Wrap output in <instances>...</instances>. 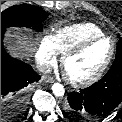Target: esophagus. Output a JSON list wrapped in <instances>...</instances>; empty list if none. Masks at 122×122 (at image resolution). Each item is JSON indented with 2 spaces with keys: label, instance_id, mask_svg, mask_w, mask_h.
Wrapping results in <instances>:
<instances>
[{
  "label": "esophagus",
  "instance_id": "esophagus-1",
  "mask_svg": "<svg viewBox=\"0 0 122 122\" xmlns=\"http://www.w3.org/2000/svg\"><path fill=\"white\" fill-rule=\"evenodd\" d=\"M43 80L45 81V82H54V79L52 78V77H50V76H44L43 77Z\"/></svg>",
  "mask_w": 122,
  "mask_h": 122
}]
</instances>
